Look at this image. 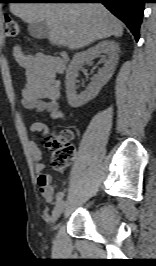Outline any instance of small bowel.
Returning <instances> with one entry per match:
<instances>
[{
  "instance_id": "small-bowel-1",
  "label": "small bowel",
  "mask_w": 156,
  "mask_h": 266,
  "mask_svg": "<svg viewBox=\"0 0 156 266\" xmlns=\"http://www.w3.org/2000/svg\"><path fill=\"white\" fill-rule=\"evenodd\" d=\"M17 63L24 69L27 79L22 92V105L27 110L46 112L53 120H65V114L60 109V85L56 80L57 60L45 54L28 56L22 53L19 46L13 50ZM31 137L29 149L34 168L37 173V183L42 197L52 203L57 185L50 174L46 173L45 164L42 162V152L36 141V134L40 133L47 138L50 134L49 127L43 122H33L30 126Z\"/></svg>"
}]
</instances>
